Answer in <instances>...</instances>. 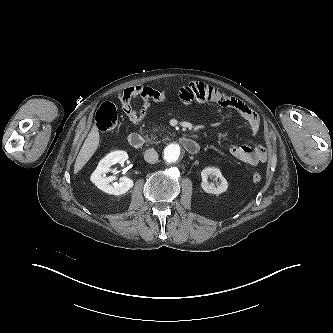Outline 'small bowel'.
Masks as SVG:
<instances>
[{"mask_svg":"<svg viewBox=\"0 0 333 333\" xmlns=\"http://www.w3.org/2000/svg\"><path fill=\"white\" fill-rule=\"evenodd\" d=\"M178 95L185 103L213 102L233 109L247 122L252 134H256L259 130L260 118L258 114L240 99L226 94L219 88L200 82H190L179 89ZM118 98L128 121L133 125H138L146 117L150 101L165 102L168 98V92L147 85H136L124 89ZM138 99L141 100V104L136 107ZM229 152L238 160L251 166L267 161V150L260 144L254 146L232 145Z\"/></svg>","mask_w":333,"mask_h":333,"instance_id":"c3829d8e","label":"small bowel"}]
</instances>
